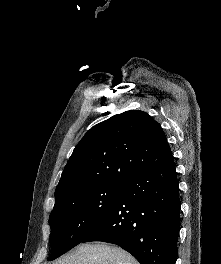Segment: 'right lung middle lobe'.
Here are the masks:
<instances>
[{
    "label": "right lung middle lobe",
    "mask_w": 221,
    "mask_h": 264,
    "mask_svg": "<svg viewBox=\"0 0 221 264\" xmlns=\"http://www.w3.org/2000/svg\"><path fill=\"white\" fill-rule=\"evenodd\" d=\"M125 182L102 183L75 193L54 206L50 216V243L54 260L80 244L119 200Z\"/></svg>",
    "instance_id": "obj_1"
}]
</instances>
